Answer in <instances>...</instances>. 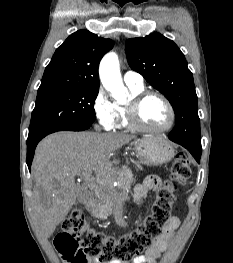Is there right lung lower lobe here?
<instances>
[{
  "label": "right lung lower lobe",
  "mask_w": 233,
  "mask_h": 263,
  "mask_svg": "<svg viewBox=\"0 0 233 263\" xmlns=\"http://www.w3.org/2000/svg\"><path fill=\"white\" fill-rule=\"evenodd\" d=\"M92 123H83V124H76V125H65L61 127H57L48 131L41 133L40 135L36 136L33 139L27 140V165L28 168L31 169V163L34 157V151L38 144V142L44 138L46 135L57 132V131H83L88 129Z\"/></svg>",
  "instance_id": "obj_1"
}]
</instances>
